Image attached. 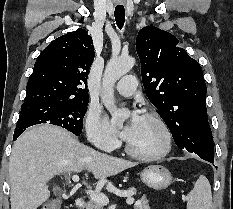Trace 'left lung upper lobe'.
<instances>
[{"label":"left lung upper lobe","mask_w":233,"mask_h":209,"mask_svg":"<svg viewBox=\"0 0 233 209\" xmlns=\"http://www.w3.org/2000/svg\"><path fill=\"white\" fill-rule=\"evenodd\" d=\"M178 43L154 26L139 31L136 50L143 86L179 149L214 159L202 69Z\"/></svg>","instance_id":"left-lung-upper-lobe-1"}]
</instances>
